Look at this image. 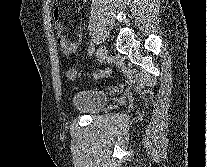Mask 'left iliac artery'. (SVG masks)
<instances>
[{
    "label": "left iliac artery",
    "instance_id": "44dca946",
    "mask_svg": "<svg viewBox=\"0 0 207 167\" xmlns=\"http://www.w3.org/2000/svg\"><path fill=\"white\" fill-rule=\"evenodd\" d=\"M93 52H94V44L91 43L89 46V49H88L89 56H91L93 54Z\"/></svg>",
    "mask_w": 207,
    "mask_h": 167
}]
</instances>
